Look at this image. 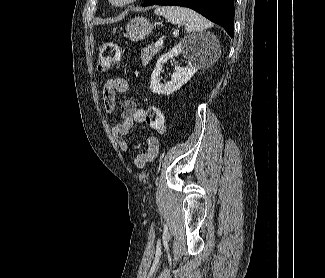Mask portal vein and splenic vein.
<instances>
[{
	"label": "portal vein and splenic vein",
	"instance_id": "obj_1",
	"mask_svg": "<svg viewBox=\"0 0 325 278\" xmlns=\"http://www.w3.org/2000/svg\"><path fill=\"white\" fill-rule=\"evenodd\" d=\"M163 44V38H160L158 39L156 42H155V46H161Z\"/></svg>",
	"mask_w": 325,
	"mask_h": 278
}]
</instances>
